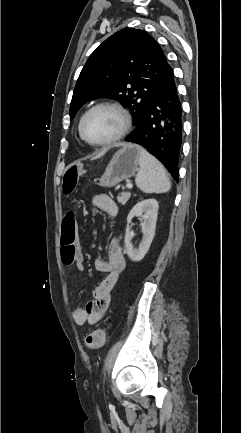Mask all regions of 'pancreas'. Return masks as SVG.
Segmentation results:
<instances>
[{"instance_id": "pancreas-1", "label": "pancreas", "mask_w": 241, "mask_h": 433, "mask_svg": "<svg viewBox=\"0 0 241 433\" xmlns=\"http://www.w3.org/2000/svg\"><path fill=\"white\" fill-rule=\"evenodd\" d=\"M130 196H131L130 192H122L120 195L117 196V201L121 205H125L127 203V201L129 200Z\"/></svg>"}]
</instances>
